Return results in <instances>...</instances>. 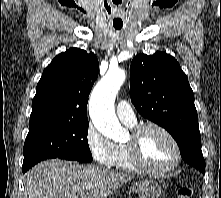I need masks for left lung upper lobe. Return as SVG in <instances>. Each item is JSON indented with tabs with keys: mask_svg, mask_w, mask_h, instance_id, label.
I'll return each mask as SVG.
<instances>
[{
	"mask_svg": "<svg viewBox=\"0 0 221 198\" xmlns=\"http://www.w3.org/2000/svg\"><path fill=\"white\" fill-rule=\"evenodd\" d=\"M130 97L138 112L165 128L183 160L205 171L198 115L188 77L171 55H137L130 67Z\"/></svg>",
	"mask_w": 221,
	"mask_h": 198,
	"instance_id": "1",
	"label": "left lung upper lobe"
}]
</instances>
